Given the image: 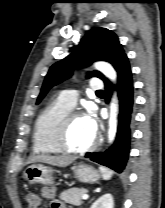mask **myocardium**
<instances>
[{
    "label": "myocardium",
    "mask_w": 165,
    "mask_h": 208,
    "mask_svg": "<svg viewBox=\"0 0 165 208\" xmlns=\"http://www.w3.org/2000/svg\"><path fill=\"white\" fill-rule=\"evenodd\" d=\"M82 116H83L82 112L76 111V110H70L64 115V117L60 121L58 128H57L56 136H55V142H56L57 147L61 153L83 155V154H86V153L92 151L97 146V144H98L97 137L94 138V140L92 141V143L89 146H87L86 148H83V149H72L67 145L66 135H67L68 129H69L72 121L75 118L82 117Z\"/></svg>",
    "instance_id": "obj_1"
}]
</instances>
